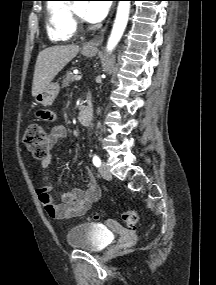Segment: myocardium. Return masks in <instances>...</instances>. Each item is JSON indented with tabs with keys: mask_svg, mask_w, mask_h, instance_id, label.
I'll return each instance as SVG.
<instances>
[{
	"mask_svg": "<svg viewBox=\"0 0 216 285\" xmlns=\"http://www.w3.org/2000/svg\"><path fill=\"white\" fill-rule=\"evenodd\" d=\"M71 16L75 30L83 29L85 27V22L83 16H81L75 9L74 5H70Z\"/></svg>",
	"mask_w": 216,
	"mask_h": 285,
	"instance_id": "1",
	"label": "myocardium"
}]
</instances>
